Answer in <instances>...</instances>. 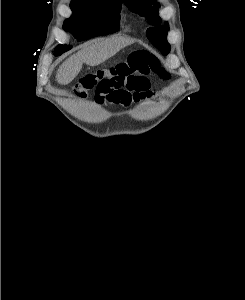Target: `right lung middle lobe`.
Here are the masks:
<instances>
[{
  "label": "right lung middle lobe",
  "mask_w": 245,
  "mask_h": 300,
  "mask_svg": "<svg viewBox=\"0 0 245 300\" xmlns=\"http://www.w3.org/2000/svg\"><path fill=\"white\" fill-rule=\"evenodd\" d=\"M121 3L114 0H73L70 4L73 15L64 22L63 29L71 32L78 41L86 40L89 33L79 23L90 20L99 23L98 36L114 33L119 29ZM69 49L70 46L61 44L57 46L55 55Z\"/></svg>",
  "instance_id": "right-lung-middle-lobe-1"
}]
</instances>
